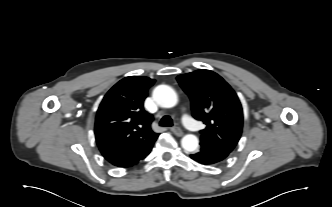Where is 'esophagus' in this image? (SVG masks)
<instances>
[{"mask_svg":"<svg viewBox=\"0 0 332 207\" xmlns=\"http://www.w3.org/2000/svg\"><path fill=\"white\" fill-rule=\"evenodd\" d=\"M171 131L176 135V136H182L183 135V131L181 128L174 126L171 128Z\"/></svg>","mask_w":332,"mask_h":207,"instance_id":"obj_1","label":"esophagus"}]
</instances>
